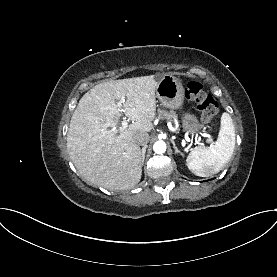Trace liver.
<instances>
[{"label":"liver","instance_id":"liver-1","mask_svg":"<svg viewBox=\"0 0 277 277\" xmlns=\"http://www.w3.org/2000/svg\"><path fill=\"white\" fill-rule=\"evenodd\" d=\"M154 75L100 83L85 93L71 117L67 150L79 173L109 190L131 189L141 179L142 154L134 136L153 129L156 114ZM126 98L127 129L111 131L121 116L116 100Z\"/></svg>","mask_w":277,"mask_h":277}]
</instances>
